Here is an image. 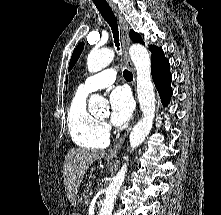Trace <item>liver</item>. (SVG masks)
<instances>
[{
	"instance_id": "obj_1",
	"label": "liver",
	"mask_w": 221,
	"mask_h": 215,
	"mask_svg": "<svg viewBox=\"0 0 221 215\" xmlns=\"http://www.w3.org/2000/svg\"><path fill=\"white\" fill-rule=\"evenodd\" d=\"M105 156L103 151L72 148L67 152L63 164L64 186L67 197L76 205L78 189L89 166Z\"/></svg>"
}]
</instances>
